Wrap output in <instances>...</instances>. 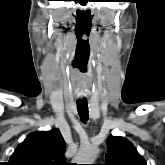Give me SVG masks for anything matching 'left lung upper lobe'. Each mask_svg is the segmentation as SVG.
Segmentation results:
<instances>
[{"mask_svg":"<svg viewBox=\"0 0 165 165\" xmlns=\"http://www.w3.org/2000/svg\"><path fill=\"white\" fill-rule=\"evenodd\" d=\"M104 165H147L136 148L125 138L108 136Z\"/></svg>","mask_w":165,"mask_h":165,"instance_id":"obj_1","label":"left lung upper lobe"}]
</instances>
